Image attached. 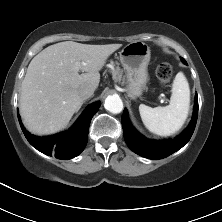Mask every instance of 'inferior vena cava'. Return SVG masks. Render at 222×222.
<instances>
[{
  "label": "inferior vena cava",
  "mask_w": 222,
  "mask_h": 222,
  "mask_svg": "<svg viewBox=\"0 0 222 222\" xmlns=\"http://www.w3.org/2000/svg\"><path fill=\"white\" fill-rule=\"evenodd\" d=\"M95 91V87L92 85H85L80 87L79 89V95L83 98V99H87L89 97H91L94 94Z\"/></svg>",
  "instance_id": "602c4592"
}]
</instances>
